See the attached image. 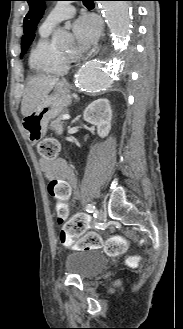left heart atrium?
Listing matches in <instances>:
<instances>
[{"mask_svg":"<svg viewBox=\"0 0 183 329\" xmlns=\"http://www.w3.org/2000/svg\"><path fill=\"white\" fill-rule=\"evenodd\" d=\"M100 23L93 15H84L77 19L72 26L77 46L85 50L93 45L100 34Z\"/></svg>","mask_w":183,"mask_h":329,"instance_id":"left-heart-atrium-1","label":"left heart atrium"}]
</instances>
